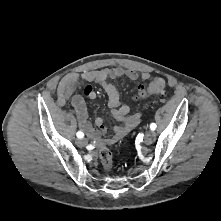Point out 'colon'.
<instances>
[{
	"instance_id": "1",
	"label": "colon",
	"mask_w": 221,
	"mask_h": 221,
	"mask_svg": "<svg viewBox=\"0 0 221 221\" xmlns=\"http://www.w3.org/2000/svg\"><path fill=\"white\" fill-rule=\"evenodd\" d=\"M166 83L162 78H155L148 87H140L136 95L137 99L146 98L149 95L161 94L164 92ZM101 162L105 169H110L113 163V153L108 147H102L99 151Z\"/></svg>"
}]
</instances>
